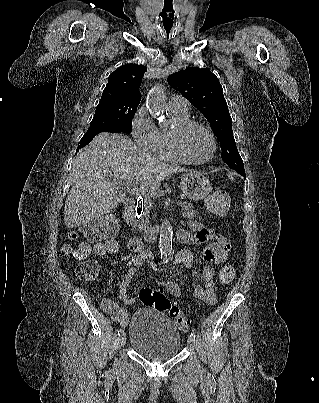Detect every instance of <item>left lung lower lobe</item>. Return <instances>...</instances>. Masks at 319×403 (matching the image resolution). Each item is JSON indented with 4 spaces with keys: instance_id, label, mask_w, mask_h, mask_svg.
I'll return each instance as SVG.
<instances>
[{
    "instance_id": "left-lung-lower-lobe-1",
    "label": "left lung lower lobe",
    "mask_w": 319,
    "mask_h": 403,
    "mask_svg": "<svg viewBox=\"0 0 319 403\" xmlns=\"http://www.w3.org/2000/svg\"><path fill=\"white\" fill-rule=\"evenodd\" d=\"M238 173V172H237ZM239 174H241L243 177H245V172H241V173H239Z\"/></svg>"
}]
</instances>
